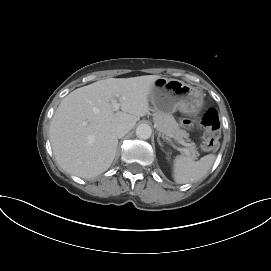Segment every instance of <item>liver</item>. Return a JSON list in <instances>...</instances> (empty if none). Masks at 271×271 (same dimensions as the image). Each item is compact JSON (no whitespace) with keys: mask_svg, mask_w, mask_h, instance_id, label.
I'll return each instance as SVG.
<instances>
[{"mask_svg":"<svg viewBox=\"0 0 271 271\" xmlns=\"http://www.w3.org/2000/svg\"><path fill=\"white\" fill-rule=\"evenodd\" d=\"M158 78H108L64 97L50 125V142L60 167L81 178L105 172L115 157L117 126L128 123L133 128L149 112L150 89ZM114 100L121 111L115 112Z\"/></svg>","mask_w":271,"mask_h":271,"instance_id":"obj_1","label":"liver"}]
</instances>
